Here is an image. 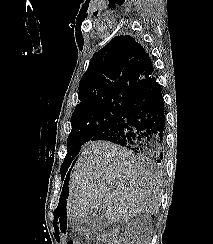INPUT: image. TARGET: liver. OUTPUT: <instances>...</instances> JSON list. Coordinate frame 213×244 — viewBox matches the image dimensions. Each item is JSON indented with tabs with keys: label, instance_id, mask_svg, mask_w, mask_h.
Here are the masks:
<instances>
[{
	"label": "liver",
	"instance_id": "1",
	"mask_svg": "<svg viewBox=\"0 0 213 244\" xmlns=\"http://www.w3.org/2000/svg\"><path fill=\"white\" fill-rule=\"evenodd\" d=\"M161 187L159 175L144 158L113 143L91 142L73 169L67 218H81L99 207L111 222L129 221L145 211L157 214Z\"/></svg>",
	"mask_w": 213,
	"mask_h": 244
}]
</instances>
